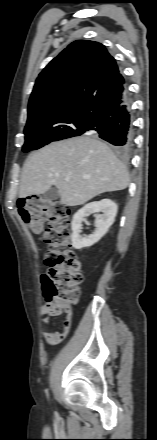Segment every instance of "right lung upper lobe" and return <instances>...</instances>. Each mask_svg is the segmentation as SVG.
<instances>
[{
	"mask_svg": "<svg viewBox=\"0 0 157 440\" xmlns=\"http://www.w3.org/2000/svg\"><path fill=\"white\" fill-rule=\"evenodd\" d=\"M126 94L124 78L106 48L78 40L40 73L29 100L28 121L84 125L118 106Z\"/></svg>",
	"mask_w": 157,
	"mask_h": 440,
	"instance_id": "right-lung-upper-lobe-1",
	"label": "right lung upper lobe"
}]
</instances>
